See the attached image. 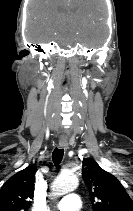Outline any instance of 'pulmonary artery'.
<instances>
[{
    "label": "pulmonary artery",
    "instance_id": "1",
    "mask_svg": "<svg viewBox=\"0 0 133 211\" xmlns=\"http://www.w3.org/2000/svg\"><path fill=\"white\" fill-rule=\"evenodd\" d=\"M55 208L58 211H79L81 208L80 196L75 193H70L58 201Z\"/></svg>",
    "mask_w": 133,
    "mask_h": 211
}]
</instances>
